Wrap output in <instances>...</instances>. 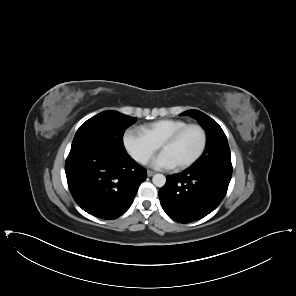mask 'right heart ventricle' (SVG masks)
I'll return each mask as SVG.
<instances>
[{"label":"right heart ventricle","mask_w":296,"mask_h":296,"mask_svg":"<svg viewBox=\"0 0 296 296\" xmlns=\"http://www.w3.org/2000/svg\"><path fill=\"white\" fill-rule=\"evenodd\" d=\"M188 123L177 119H164L157 121L144 129L145 134L159 147L173 134L187 126Z\"/></svg>","instance_id":"right-heart-ventricle-1"}]
</instances>
